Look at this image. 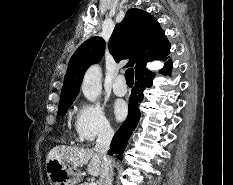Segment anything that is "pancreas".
<instances>
[{
    "mask_svg": "<svg viewBox=\"0 0 233 185\" xmlns=\"http://www.w3.org/2000/svg\"><path fill=\"white\" fill-rule=\"evenodd\" d=\"M80 185H88V183H81Z\"/></svg>",
    "mask_w": 233,
    "mask_h": 185,
    "instance_id": "pancreas-1",
    "label": "pancreas"
}]
</instances>
